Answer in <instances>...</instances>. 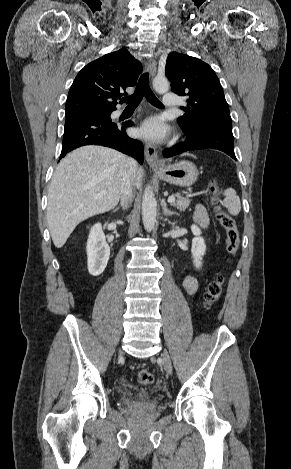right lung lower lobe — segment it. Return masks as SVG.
Masks as SVG:
<instances>
[{"instance_id": "obj_1", "label": "right lung lower lobe", "mask_w": 291, "mask_h": 469, "mask_svg": "<svg viewBox=\"0 0 291 469\" xmlns=\"http://www.w3.org/2000/svg\"><path fill=\"white\" fill-rule=\"evenodd\" d=\"M114 110L116 107L96 108L66 116L60 159L73 149L94 144L116 149L142 164V143L126 134V127L132 126L133 122H113L110 115Z\"/></svg>"}]
</instances>
